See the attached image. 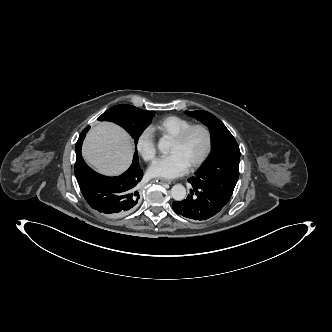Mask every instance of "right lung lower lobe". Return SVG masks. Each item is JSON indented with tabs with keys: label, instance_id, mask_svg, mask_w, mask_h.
<instances>
[{
	"label": "right lung lower lobe",
	"instance_id": "1",
	"mask_svg": "<svg viewBox=\"0 0 332 332\" xmlns=\"http://www.w3.org/2000/svg\"><path fill=\"white\" fill-rule=\"evenodd\" d=\"M89 128L81 132L76 143L74 172L81 192L87 203L100 213L109 217L127 215L138 206V183L143 171L135 161L125 173L117 177H107L93 171L81 156L82 142Z\"/></svg>",
	"mask_w": 332,
	"mask_h": 332
}]
</instances>
